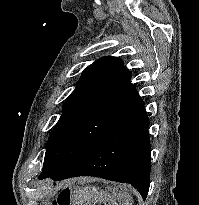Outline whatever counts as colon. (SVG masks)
<instances>
[{
	"label": "colon",
	"mask_w": 199,
	"mask_h": 205,
	"mask_svg": "<svg viewBox=\"0 0 199 205\" xmlns=\"http://www.w3.org/2000/svg\"><path fill=\"white\" fill-rule=\"evenodd\" d=\"M54 205H57V203H55ZM58 205H61V203H60V202H58Z\"/></svg>",
	"instance_id": "1"
}]
</instances>
